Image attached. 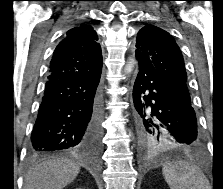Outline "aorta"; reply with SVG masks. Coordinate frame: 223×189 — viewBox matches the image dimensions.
<instances>
[{
	"label": "aorta",
	"mask_w": 223,
	"mask_h": 189,
	"mask_svg": "<svg viewBox=\"0 0 223 189\" xmlns=\"http://www.w3.org/2000/svg\"><path fill=\"white\" fill-rule=\"evenodd\" d=\"M133 65H134V62H133V60H131L125 67V72H127V73L131 72Z\"/></svg>",
	"instance_id": "aorta-1"
}]
</instances>
